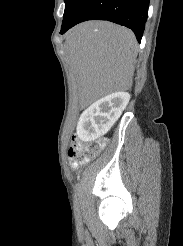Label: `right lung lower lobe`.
<instances>
[{"instance_id": "right-lung-lower-lobe-1", "label": "right lung lower lobe", "mask_w": 183, "mask_h": 246, "mask_svg": "<svg viewBox=\"0 0 183 246\" xmlns=\"http://www.w3.org/2000/svg\"><path fill=\"white\" fill-rule=\"evenodd\" d=\"M150 0H80L62 22L60 33L87 20H108L130 28L140 42L148 18Z\"/></svg>"}]
</instances>
